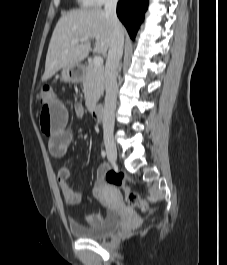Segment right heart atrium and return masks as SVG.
<instances>
[{"label":"right heart atrium","instance_id":"obj_1","mask_svg":"<svg viewBox=\"0 0 227 265\" xmlns=\"http://www.w3.org/2000/svg\"><path fill=\"white\" fill-rule=\"evenodd\" d=\"M90 5L94 6H101L107 2L113 1V0H87Z\"/></svg>","mask_w":227,"mask_h":265}]
</instances>
